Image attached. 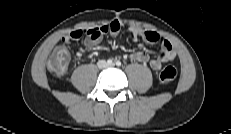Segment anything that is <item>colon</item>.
<instances>
[{
    "label": "colon",
    "mask_w": 231,
    "mask_h": 134,
    "mask_svg": "<svg viewBox=\"0 0 231 134\" xmlns=\"http://www.w3.org/2000/svg\"><path fill=\"white\" fill-rule=\"evenodd\" d=\"M70 60V55L65 47H57L48 60V68L51 72L62 75L66 72ZM177 71L173 66L165 67L159 75L162 83H171L175 80Z\"/></svg>",
    "instance_id": "5ec220e1"
}]
</instances>
